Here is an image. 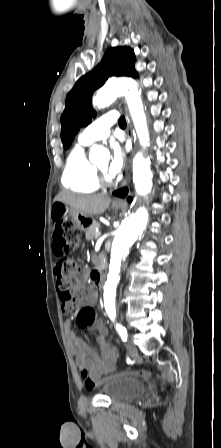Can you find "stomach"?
Returning <instances> with one entry per match:
<instances>
[{"instance_id": "0dacf381", "label": "stomach", "mask_w": 221, "mask_h": 448, "mask_svg": "<svg viewBox=\"0 0 221 448\" xmlns=\"http://www.w3.org/2000/svg\"><path fill=\"white\" fill-rule=\"evenodd\" d=\"M53 208H59L61 211L65 209L64 211L68 213V216L72 218L76 226L82 231H86L89 227L92 226L93 219L89 215H86L73 208L68 209L67 206L61 202L54 203ZM112 208L114 210H119L121 206L113 204Z\"/></svg>"}]
</instances>
